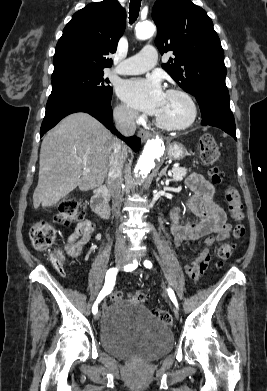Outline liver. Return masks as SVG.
I'll return each instance as SVG.
<instances>
[{
	"label": "liver",
	"mask_w": 267,
	"mask_h": 391,
	"mask_svg": "<svg viewBox=\"0 0 267 391\" xmlns=\"http://www.w3.org/2000/svg\"><path fill=\"white\" fill-rule=\"evenodd\" d=\"M115 141L112 134L87 113L65 117L42 141L34 208L40 204L53 206L76 187L88 191L100 186L107 174ZM126 156L125 149L124 160Z\"/></svg>",
	"instance_id": "obj_1"
}]
</instances>
